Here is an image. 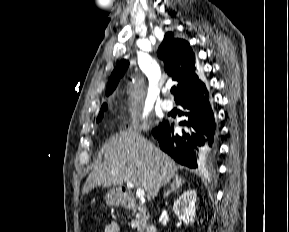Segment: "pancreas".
I'll list each match as a JSON object with an SVG mask.
<instances>
[{
  "mask_svg": "<svg viewBox=\"0 0 289 232\" xmlns=\"http://www.w3.org/2000/svg\"><path fill=\"white\" fill-rule=\"evenodd\" d=\"M136 218L131 221V227L143 232L147 228L146 217L141 213L135 214Z\"/></svg>",
  "mask_w": 289,
  "mask_h": 232,
  "instance_id": "obj_1",
  "label": "pancreas"
}]
</instances>
